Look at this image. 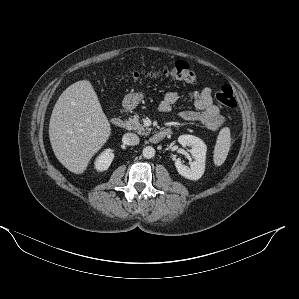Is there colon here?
Segmentation results:
<instances>
[{"instance_id":"colon-1","label":"colon","mask_w":299,"mask_h":299,"mask_svg":"<svg viewBox=\"0 0 299 299\" xmlns=\"http://www.w3.org/2000/svg\"><path fill=\"white\" fill-rule=\"evenodd\" d=\"M146 79H175L187 83H195L198 80V73L192 70L186 61H176L170 65L144 72H135L128 76V79L139 80ZM216 99L226 109L232 111L237 108V101L234 92L229 85H223L216 92Z\"/></svg>"}]
</instances>
